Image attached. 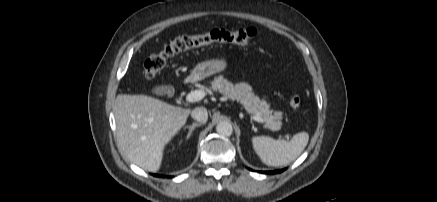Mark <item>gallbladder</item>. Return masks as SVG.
<instances>
[{
	"mask_svg": "<svg viewBox=\"0 0 437 202\" xmlns=\"http://www.w3.org/2000/svg\"><path fill=\"white\" fill-rule=\"evenodd\" d=\"M166 92H167V87L164 86V85L155 86L152 89V93L155 94V95H158V96H163V95L166 94Z\"/></svg>",
	"mask_w": 437,
	"mask_h": 202,
	"instance_id": "gallbladder-1",
	"label": "gallbladder"
}]
</instances>
